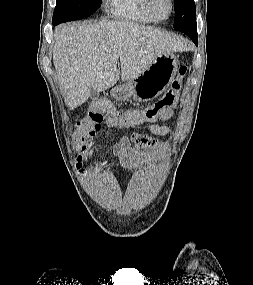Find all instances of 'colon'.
<instances>
[{
  "label": "colon",
  "instance_id": "1",
  "mask_svg": "<svg viewBox=\"0 0 253 285\" xmlns=\"http://www.w3.org/2000/svg\"><path fill=\"white\" fill-rule=\"evenodd\" d=\"M186 73L187 67L180 66L178 76L172 82L170 89L159 101L145 109H133L120 113L105 101L93 103L88 115L80 123L81 126H77L75 130V133L79 134L76 144L78 150L75 151V154L80 157L77 161L78 167L75 168L78 175L86 176L87 172H90V168L96 165V160L90 158L93 155V140L94 137H98L96 131L100 129L104 120L110 126L129 127L160 118L162 113L175 102Z\"/></svg>",
  "mask_w": 253,
  "mask_h": 285
}]
</instances>
